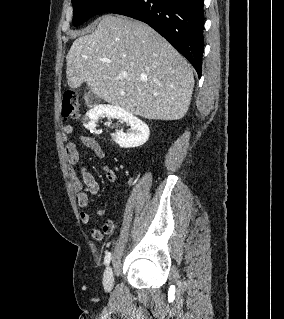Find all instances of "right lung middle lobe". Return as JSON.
Returning a JSON list of instances; mask_svg holds the SVG:
<instances>
[{
    "label": "right lung middle lobe",
    "mask_w": 284,
    "mask_h": 319,
    "mask_svg": "<svg viewBox=\"0 0 284 319\" xmlns=\"http://www.w3.org/2000/svg\"><path fill=\"white\" fill-rule=\"evenodd\" d=\"M129 0H72L73 25L79 26L89 18L104 12H110Z\"/></svg>",
    "instance_id": "dd1d6c3e"
}]
</instances>
